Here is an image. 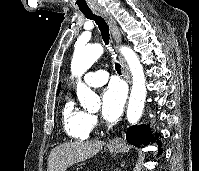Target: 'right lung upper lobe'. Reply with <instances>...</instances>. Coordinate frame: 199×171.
<instances>
[{"mask_svg":"<svg viewBox=\"0 0 199 171\" xmlns=\"http://www.w3.org/2000/svg\"><path fill=\"white\" fill-rule=\"evenodd\" d=\"M60 86H61V83L59 84V87H58V93H59V91H60Z\"/></svg>","mask_w":199,"mask_h":171,"instance_id":"obj_1","label":"right lung upper lobe"}]
</instances>
